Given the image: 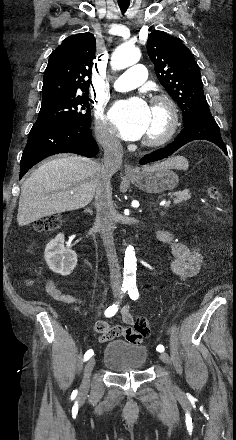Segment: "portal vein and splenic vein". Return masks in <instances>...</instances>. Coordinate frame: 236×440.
<instances>
[{"label":"portal vein and splenic vein","instance_id":"18ae733b","mask_svg":"<svg viewBox=\"0 0 236 440\" xmlns=\"http://www.w3.org/2000/svg\"><path fill=\"white\" fill-rule=\"evenodd\" d=\"M164 205H165L166 207L169 206V205H170V201H167Z\"/></svg>","mask_w":236,"mask_h":440}]
</instances>
